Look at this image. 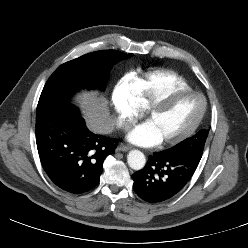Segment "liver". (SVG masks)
Listing matches in <instances>:
<instances>
[{"label": "liver", "instance_id": "6515ba94", "mask_svg": "<svg viewBox=\"0 0 248 248\" xmlns=\"http://www.w3.org/2000/svg\"><path fill=\"white\" fill-rule=\"evenodd\" d=\"M79 97L87 127L94 133L111 132L114 124L109 115L106 99L97 97L95 93H85Z\"/></svg>", "mask_w": 248, "mask_h": 248}]
</instances>
